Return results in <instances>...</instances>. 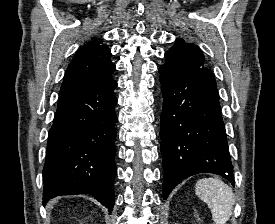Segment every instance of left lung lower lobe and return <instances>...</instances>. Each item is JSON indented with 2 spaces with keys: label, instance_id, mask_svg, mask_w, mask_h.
<instances>
[{
  "label": "left lung lower lobe",
  "instance_id": "0a47b994",
  "mask_svg": "<svg viewBox=\"0 0 275 224\" xmlns=\"http://www.w3.org/2000/svg\"><path fill=\"white\" fill-rule=\"evenodd\" d=\"M159 72L164 98L160 118L164 199L197 173L218 174L234 185L217 88L195 75L170 77Z\"/></svg>",
  "mask_w": 275,
  "mask_h": 224
}]
</instances>
